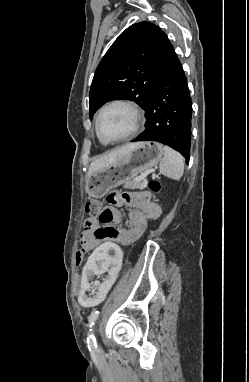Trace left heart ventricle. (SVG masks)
Instances as JSON below:
<instances>
[{"instance_id":"left-heart-ventricle-1","label":"left heart ventricle","mask_w":249,"mask_h":382,"mask_svg":"<svg viewBox=\"0 0 249 382\" xmlns=\"http://www.w3.org/2000/svg\"><path fill=\"white\" fill-rule=\"evenodd\" d=\"M133 119L130 111L122 106L107 109L101 116L99 127L106 139H114L128 134L132 129Z\"/></svg>"}]
</instances>
